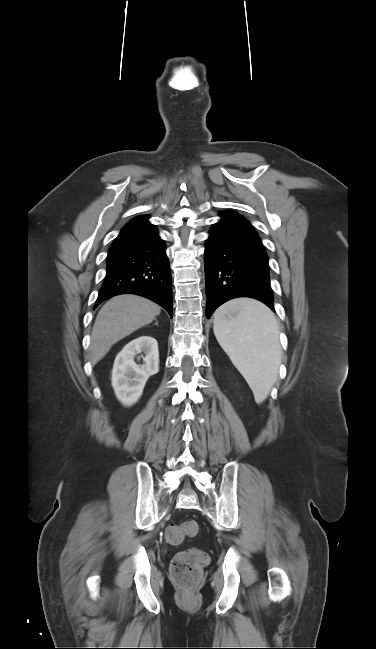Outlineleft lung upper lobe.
<instances>
[{
  "label": "left lung upper lobe",
  "instance_id": "left-lung-upper-lobe-1",
  "mask_svg": "<svg viewBox=\"0 0 376 649\" xmlns=\"http://www.w3.org/2000/svg\"><path fill=\"white\" fill-rule=\"evenodd\" d=\"M220 216H237V215L234 212H231V211H224V212H220ZM237 217H239V216H237Z\"/></svg>",
  "mask_w": 376,
  "mask_h": 649
}]
</instances>
